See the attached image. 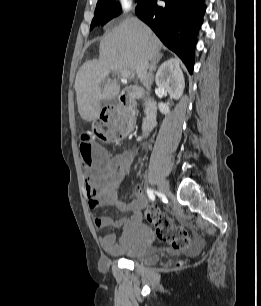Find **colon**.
Wrapping results in <instances>:
<instances>
[{"mask_svg": "<svg viewBox=\"0 0 261 306\" xmlns=\"http://www.w3.org/2000/svg\"><path fill=\"white\" fill-rule=\"evenodd\" d=\"M108 112H115L113 107L107 109ZM115 123L98 120L95 130L91 134H85L79 142V153L82 167L84 170H90L96 164H99L103 158V153L99 152L100 159H97L93 140L105 139L106 137L122 138L126 133L129 124L132 121V113L125 109V113L114 114ZM147 220L153 224L159 241L169 244L174 250H185L191 246L192 239L188 233L179 227L173 225L171 218L156 206L149 207L146 212Z\"/></svg>", "mask_w": 261, "mask_h": 306, "instance_id": "5ec220e1", "label": "colon"}]
</instances>
